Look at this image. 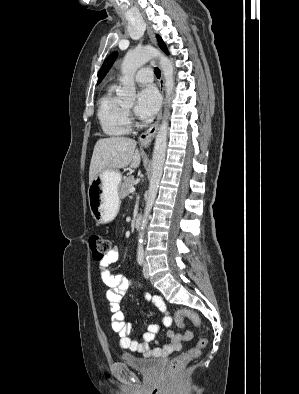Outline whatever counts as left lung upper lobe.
Here are the masks:
<instances>
[{"label": "left lung upper lobe", "instance_id": "1", "mask_svg": "<svg viewBox=\"0 0 299 394\" xmlns=\"http://www.w3.org/2000/svg\"><path fill=\"white\" fill-rule=\"evenodd\" d=\"M157 40H158L160 48L165 53H168V49L159 35H157ZM116 58H117V52H114L105 60V62L103 63V65L100 69V72H99L98 84L104 78V76L106 75V73L108 72V70L110 69V67L112 66V64L114 63Z\"/></svg>", "mask_w": 299, "mask_h": 394}]
</instances>
